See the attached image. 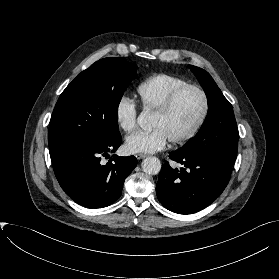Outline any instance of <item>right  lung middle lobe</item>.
<instances>
[{
	"label": "right lung middle lobe",
	"mask_w": 279,
	"mask_h": 279,
	"mask_svg": "<svg viewBox=\"0 0 279 279\" xmlns=\"http://www.w3.org/2000/svg\"><path fill=\"white\" fill-rule=\"evenodd\" d=\"M136 69L124 58L109 57L81 72L53 110L48 132L50 155L120 135L118 106Z\"/></svg>",
	"instance_id": "right-lung-middle-lobe-1"
}]
</instances>
